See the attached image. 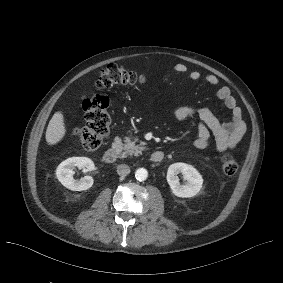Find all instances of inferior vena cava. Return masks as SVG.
<instances>
[{"label": "inferior vena cava", "instance_id": "inferior-vena-cava-1", "mask_svg": "<svg viewBox=\"0 0 283 283\" xmlns=\"http://www.w3.org/2000/svg\"><path fill=\"white\" fill-rule=\"evenodd\" d=\"M117 173L120 176H127L130 173V168L126 164H121L117 167Z\"/></svg>", "mask_w": 283, "mask_h": 283}]
</instances>
